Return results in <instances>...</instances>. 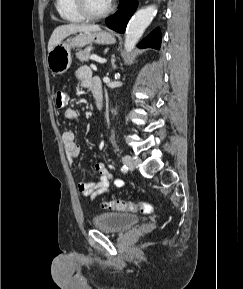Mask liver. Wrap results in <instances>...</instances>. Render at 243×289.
Segmentation results:
<instances>
[{
	"mask_svg": "<svg viewBox=\"0 0 243 289\" xmlns=\"http://www.w3.org/2000/svg\"><path fill=\"white\" fill-rule=\"evenodd\" d=\"M100 27L98 25H88V24H66L61 25L55 28L53 31L49 42H48V52L51 51V49L59 44L63 39H65L67 36L77 33V32H94V31H100Z\"/></svg>",
	"mask_w": 243,
	"mask_h": 289,
	"instance_id": "1",
	"label": "liver"
}]
</instances>
